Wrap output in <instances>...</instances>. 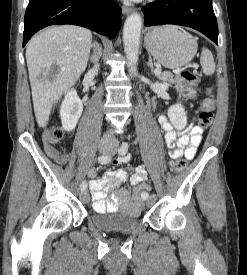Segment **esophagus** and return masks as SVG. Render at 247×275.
Instances as JSON below:
<instances>
[{"label": "esophagus", "mask_w": 247, "mask_h": 275, "mask_svg": "<svg viewBox=\"0 0 247 275\" xmlns=\"http://www.w3.org/2000/svg\"><path fill=\"white\" fill-rule=\"evenodd\" d=\"M132 11H133V8H131V7H123V8H122V12H123L125 15L129 14V13L132 12Z\"/></svg>", "instance_id": "1"}]
</instances>
